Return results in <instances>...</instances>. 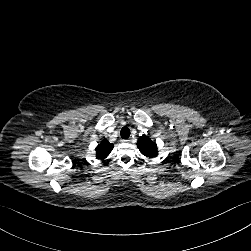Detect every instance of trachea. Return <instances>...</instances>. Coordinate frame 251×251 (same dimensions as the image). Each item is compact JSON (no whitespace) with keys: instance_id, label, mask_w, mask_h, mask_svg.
<instances>
[{"instance_id":"3493384b","label":"trachea","mask_w":251,"mask_h":251,"mask_svg":"<svg viewBox=\"0 0 251 251\" xmlns=\"http://www.w3.org/2000/svg\"><path fill=\"white\" fill-rule=\"evenodd\" d=\"M120 135H121V137H122L123 139L129 138V136H130V130H129V128L126 127V126L123 127V128L121 129Z\"/></svg>"}]
</instances>
